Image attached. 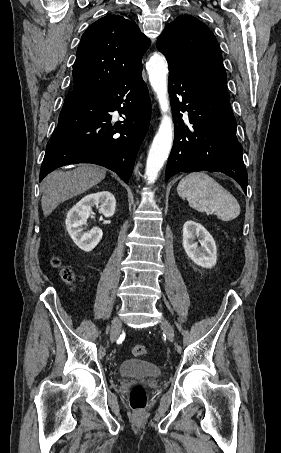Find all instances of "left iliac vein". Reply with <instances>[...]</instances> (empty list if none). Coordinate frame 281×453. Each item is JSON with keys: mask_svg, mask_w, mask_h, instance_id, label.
Listing matches in <instances>:
<instances>
[{"mask_svg": "<svg viewBox=\"0 0 281 453\" xmlns=\"http://www.w3.org/2000/svg\"><path fill=\"white\" fill-rule=\"evenodd\" d=\"M161 320V319H160ZM165 320V319H164ZM162 326L164 327V331H165V334L166 336L168 337V339L170 341H173L175 339V336H174V331L172 330L171 326L169 325V323L167 321H164L162 322Z\"/></svg>", "mask_w": 281, "mask_h": 453, "instance_id": "4c4485c4", "label": "left iliac vein"}]
</instances>
